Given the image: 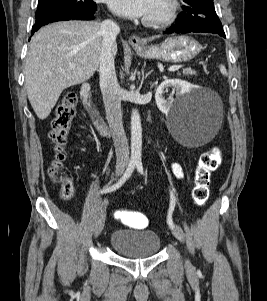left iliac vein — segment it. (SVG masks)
I'll return each instance as SVG.
<instances>
[{"label":"left iliac vein","mask_w":267,"mask_h":301,"mask_svg":"<svg viewBox=\"0 0 267 301\" xmlns=\"http://www.w3.org/2000/svg\"><path fill=\"white\" fill-rule=\"evenodd\" d=\"M171 231H172V234L181 242L184 241V233L183 231L181 230L180 227L174 225V227L171 228ZM186 268L188 271H192L193 270V266L192 264L190 263L189 260H186Z\"/></svg>","instance_id":"4c4485c4"}]
</instances>
